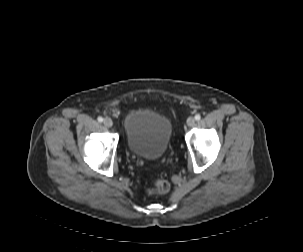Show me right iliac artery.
I'll return each instance as SVG.
<instances>
[{"instance_id":"obj_1","label":"right iliac artery","mask_w":303,"mask_h":252,"mask_svg":"<svg viewBox=\"0 0 303 252\" xmlns=\"http://www.w3.org/2000/svg\"><path fill=\"white\" fill-rule=\"evenodd\" d=\"M97 120H98L99 122H102V121H103V118L99 116V117L97 118Z\"/></svg>"}]
</instances>
